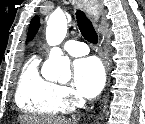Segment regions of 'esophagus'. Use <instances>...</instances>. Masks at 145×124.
<instances>
[{
	"label": "esophagus",
	"instance_id": "1",
	"mask_svg": "<svg viewBox=\"0 0 145 124\" xmlns=\"http://www.w3.org/2000/svg\"><path fill=\"white\" fill-rule=\"evenodd\" d=\"M91 5H92L91 8L86 7V11L93 24L97 25L100 14L102 12V5H100L99 1H92Z\"/></svg>",
	"mask_w": 145,
	"mask_h": 124
}]
</instances>
